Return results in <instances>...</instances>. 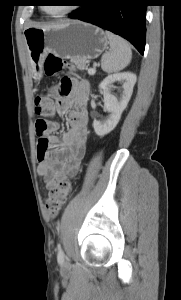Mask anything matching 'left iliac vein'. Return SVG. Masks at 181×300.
<instances>
[{"label":"left iliac vein","mask_w":181,"mask_h":300,"mask_svg":"<svg viewBox=\"0 0 181 300\" xmlns=\"http://www.w3.org/2000/svg\"><path fill=\"white\" fill-rule=\"evenodd\" d=\"M64 266H65V267H67V266H68V263H67V262H65V263H64Z\"/></svg>","instance_id":"obj_1"}]
</instances>
